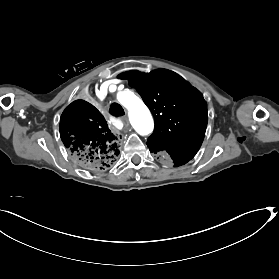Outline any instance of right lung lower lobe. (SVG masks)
<instances>
[{
    "instance_id": "98d812e1",
    "label": "right lung lower lobe",
    "mask_w": 279,
    "mask_h": 279,
    "mask_svg": "<svg viewBox=\"0 0 279 279\" xmlns=\"http://www.w3.org/2000/svg\"><path fill=\"white\" fill-rule=\"evenodd\" d=\"M59 129L65 148L81 168L90 171L106 169L119 154L121 135L84 100H76L66 107Z\"/></svg>"
}]
</instances>
